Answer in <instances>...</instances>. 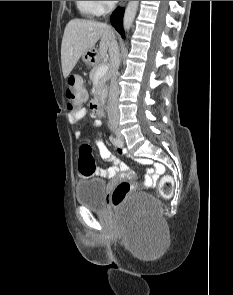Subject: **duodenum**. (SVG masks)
Returning a JSON list of instances; mask_svg holds the SVG:
<instances>
[{
  "label": "duodenum",
  "mask_w": 233,
  "mask_h": 295,
  "mask_svg": "<svg viewBox=\"0 0 233 295\" xmlns=\"http://www.w3.org/2000/svg\"><path fill=\"white\" fill-rule=\"evenodd\" d=\"M91 109L96 114L102 113L101 100L98 96L91 101Z\"/></svg>",
  "instance_id": "duodenum-1"
}]
</instances>
